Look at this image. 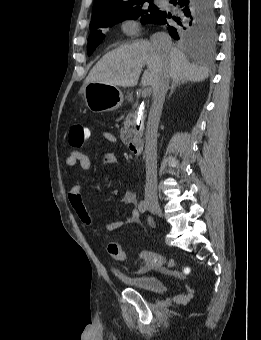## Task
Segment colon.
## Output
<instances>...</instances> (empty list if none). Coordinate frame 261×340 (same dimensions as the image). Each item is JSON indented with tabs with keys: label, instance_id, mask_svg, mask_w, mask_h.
<instances>
[{
	"label": "colon",
	"instance_id": "1",
	"mask_svg": "<svg viewBox=\"0 0 261 340\" xmlns=\"http://www.w3.org/2000/svg\"><path fill=\"white\" fill-rule=\"evenodd\" d=\"M68 139L72 147H81L87 140L86 127L78 122L71 124L68 128ZM108 252L115 260L125 261L126 259V254L118 243H111L108 246ZM139 255L144 261L145 267L148 268L158 269L178 276H187L191 272L188 266L181 265L175 260L166 258L160 254L142 250Z\"/></svg>",
	"mask_w": 261,
	"mask_h": 340
}]
</instances>
